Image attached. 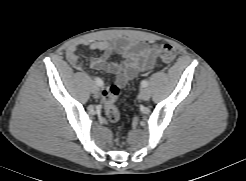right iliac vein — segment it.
Segmentation results:
<instances>
[{
    "mask_svg": "<svg viewBox=\"0 0 246 181\" xmlns=\"http://www.w3.org/2000/svg\"><path fill=\"white\" fill-rule=\"evenodd\" d=\"M92 92H93L94 96L97 97L99 95V88L97 86H93Z\"/></svg>",
    "mask_w": 246,
    "mask_h": 181,
    "instance_id": "right-iliac-vein-1",
    "label": "right iliac vein"
}]
</instances>
